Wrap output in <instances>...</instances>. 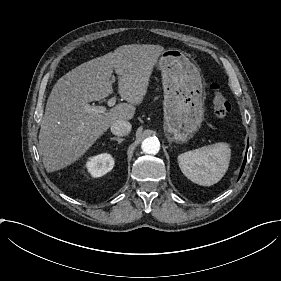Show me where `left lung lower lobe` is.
I'll list each match as a JSON object with an SVG mask.
<instances>
[{
    "instance_id": "obj_1",
    "label": "left lung lower lobe",
    "mask_w": 281,
    "mask_h": 281,
    "mask_svg": "<svg viewBox=\"0 0 281 281\" xmlns=\"http://www.w3.org/2000/svg\"><path fill=\"white\" fill-rule=\"evenodd\" d=\"M246 156H247V154H246ZM246 156H245V160H244V162H243L242 168H241L240 176H241L242 173H243V169H244V166H245V163H246Z\"/></svg>"
}]
</instances>
